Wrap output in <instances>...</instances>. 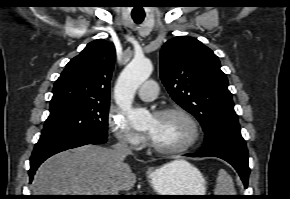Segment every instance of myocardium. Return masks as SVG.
<instances>
[{
    "instance_id": "1",
    "label": "myocardium",
    "mask_w": 290,
    "mask_h": 199,
    "mask_svg": "<svg viewBox=\"0 0 290 199\" xmlns=\"http://www.w3.org/2000/svg\"><path fill=\"white\" fill-rule=\"evenodd\" d=\"M169 115H179L184 120H186L188 122V124L190 125L191 130H192L191 139L189 140L188 143H186L185 145H183L181 147L166 149V148H162V147L156 145L150 139V137H148L147 140H148L149 147L153 151H155L159 154H163V155L175 156V155L185 154V153L189 152L191 149H193L199 143V141L201 139L200 125H199L198 121L196 120V118L191 113H189L187 110H185L181 107H168V108L158 110L155 113V117H162V116H169Z\"/></svg>"
}]
</instances>
